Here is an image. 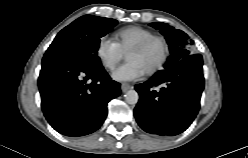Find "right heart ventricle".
I'll use <instances>...</instances> for the list:
<instances>
[{
  "label": "right heart ventricle",
  "instance_id": "obj_1",
  "mask_svg": "<svg viewBox=\"0 0 248 158\" xmlns=\"http://www.w3.org/2000/svg\"><path fill=\"white\" fill-rule=\"evenodd\" d=\"M152 35V31L140 26L122 28L113 33L115 42L123 53H128L134 45Z\"/></svg>",
  "mask_w": 248,
  "mask_h": 158
}]
</instances>
